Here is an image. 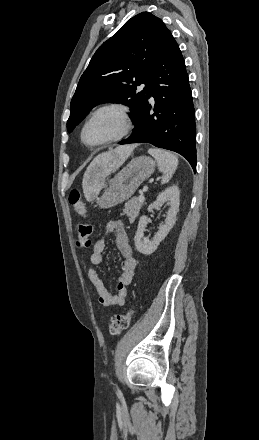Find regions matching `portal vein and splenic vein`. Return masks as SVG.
I'll return each instance as SVG.
<instances>
[{
  "mask_svg": "<svg viewBox=\"0 0 259 440\" xmlns=\"http://www.w3.org/2000/svg\"><path fill=\"white\" fill-rule=\"evenodd\" d=\"M138 200L141 201V202H144V200H145L144 195L140 194L139 197H138Z\"/></svg>",
  "mask_w": 259,
  "mask_h": 440,
  "instance_id": "obj_1",
  "label": "portal vein and splenic vein"
}]
</instances>
